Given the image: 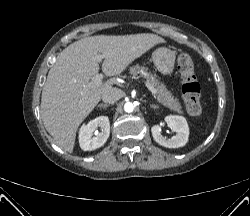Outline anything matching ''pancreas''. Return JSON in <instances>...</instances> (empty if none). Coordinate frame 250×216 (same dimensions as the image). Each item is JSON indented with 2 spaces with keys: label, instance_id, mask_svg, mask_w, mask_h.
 Instances as JSON below:
<instances>
[{
  "label": "pancreas",
  "instance_id": "obj_1",
  "mask_svg": "<svg viewBox=\"0 0 250 216\" xmlns=\"http://www.w3.org/2000/svg\"><path fill=\"white\" fill-rule=\"evenodd\" d=\"M129 74L132 77H135L137 74L143 75L146 78V81L157 90V95H155V97L159 103L172 111L183 114L178 98H176L169 90H167L166 86L161 83L155 75L148 72L146 67L136 64L129 68Z\"/></svg>",
  "mask_w": 250,
  "mask_h": 216
}]
</instances>
